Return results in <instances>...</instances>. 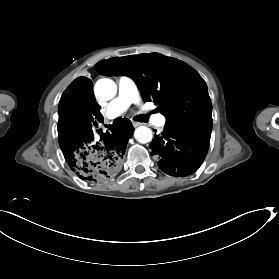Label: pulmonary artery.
Here are the masks:
<instances>
[{"instance_id":"e3ab8cb5","label":"pulmonary artery","mask_w":279,"mask_h":279,"mask_svg":"<svg viewBox=\"0 0 279 279\" xmlns=\"http://www.w3.org/2000/svg\"><path fill=\"white\" fill-rule=\"evenodd\" d=\"M117 86V96L101 110L102 114L109 119L123 114L133 102H137L135 84L130 78L125 76L118 77Z\"/></svg>"}]
</instances>
